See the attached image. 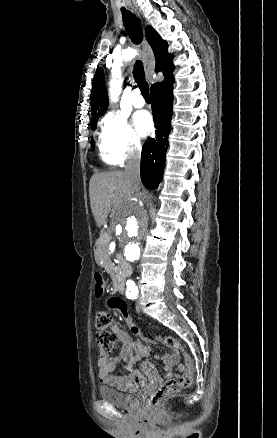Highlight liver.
Listing matches in <instances>:
<instances>
[{
  "instance_id": "1",
  "label": "liver",
  "mask_w": 277,
  "mask_h": 438,
  "mask_svg": "<svg viewBox=\"0 0 277 438\" xmlns=\"http://www.w3.org/2000/svg\"><path fill=\"white\" fill-rule=\"evenodd\" d=\"M127 188L131 186L125 172H99L92 176L90 206L98 228L105 224L111 208H115V205H127Z\"/></svg>"
}]
</instances>
